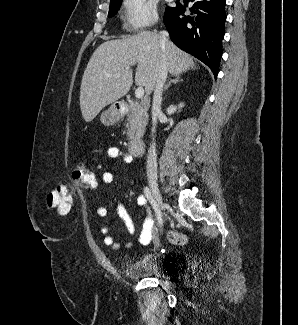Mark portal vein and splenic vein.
<instances>
[{"label":"portal vein and splenic vein","mask_w":298,"mask_h":325,"mask_svg":"<svg viewBox=\"0 0 298 325\" xmlns=\"http://www.w3.org/2000/svg\"><path fill=\"white\" fill-rule=\"evenodd\" d=\"M107 76H112V74H107ZM135 96H136V98H142V96H144L143 86H138V88H136Z\"/></svg>","instance_id":"1"}]
</instances>
